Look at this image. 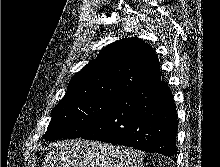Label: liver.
I'll return each mask as SVG.
<instances>
[{
	"instance_id": "1",
	"label": "liver",
	"mask_w": 220,
	"mask_h": 167,
	"mask_svg": "<svg viewBox=\"0 0 220 167\" xmlns=\"http://www.w3.org/2000/svg\"><path fill=\"white\" fill-rule=\"evenodd\" d=\"M143 154L123 146L73 139L57 142L43 167H137Z\"/></svg>"
}]
</instances>
